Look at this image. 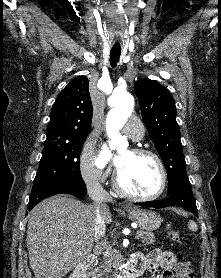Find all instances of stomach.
<instances>
[{"label":"stomach","mask_w":221,"mask_h":278,"mask_svg":"<svg viewBox=\"0 0 221 278\" xmlns=\"http://www.w3.org/2000/svg\"><path fill=\"white\" fill-rule=\"evenodd\" d=\"M129 219L136 222L143 230L151 232L158 229L162 219L156 212L150 210H141L138 208H129L125 211Z\"/></svg>","instance_id":"0dacf381"}]
</instances>
